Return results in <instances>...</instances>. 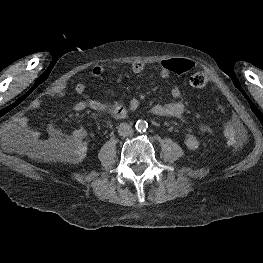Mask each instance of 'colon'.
<instances>
[{
	"instance_id": "5ec220e1",
	"label": "colon",
	"mask_w": 263,
	"mask_h": 263,
	"mask_svg": "<svg viewBox=\"0 0 263 263\" xmlns=\"http://www.w3.org/2000/svg\"><path fill=\"white\" fill-rule=\"evenodd\" d=\"M166 66L178 75L186 73L188 69L187 63L183 59H170L166 62ZM209 84L210 78L203 72H197L190 77V85L194 88H204ZM204 132L209 133V127H205ZM224 135L227 142L234 147H241L245 142V132L243 128L240 124L233 121L228 122L225 126ZM83 153V142L67 141L50 154L67 159H78Z\"/></svg>"
}]
</instances>
